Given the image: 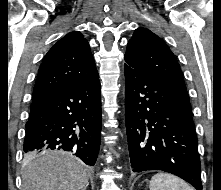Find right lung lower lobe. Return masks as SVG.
I'll return each instance as SVG.
<instances>
[{
	"label": "right lung lower lobe",
	"instance_id": "1",
	"mask_svg": "<svg viewBox=\"0 0 221 190\" xmlns=\"http://www.w3.org/2000/svg\"><path fill=\"white\" fill-rule=\"evenodd\" d=\"M101 141V87L98 73L32 101L24 151L72 152L87 165L96 162Z\"/></svg>",
	"mask_w": 221,
	"mask_h": 190
}]
</instances>
